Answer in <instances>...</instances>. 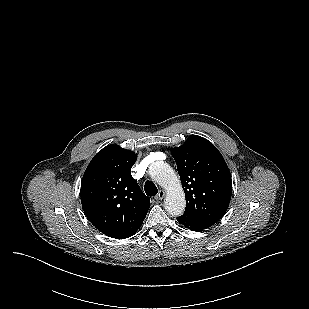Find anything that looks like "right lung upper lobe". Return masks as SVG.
Returning <instances> with one entry per match:
<instances>
[{
    "label": "right lung upper lobe",
    "mask_w": 309,
    "mask_h": 309,
    "mask_svg": "<svg viewBox=\"0 0 309 309\" xmlns=\"http://www.w3.org/2000/svg\"><path fill=\"white\" fill-rule=\"evenodd\" d=\"M137 156L108 145L89 163L81 182V202L88 220L103 234L124 239L134 235L146 217L149 198L131 176Z\"/></svg>",
    "instance_id": "obj_1"
}]
</instances>
